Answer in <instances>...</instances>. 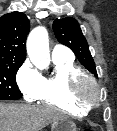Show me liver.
Instances as JSON below:
<instances>
[{
	"mask_svg": "<svg viewBox=\"0 0 117 131\" xmlns=\"http://www.w3.org/2000/svg\"><path fill=\"white\" fill-rule=\"evenodd\" d=\"M64 118V114L48 106L0 103V131H40Z\"/></svg>",
	"mask_w": 117,
	"mask_h": 131,
	"instance_id": "liver-1",
	"label": "liver"
}]
</instances>
